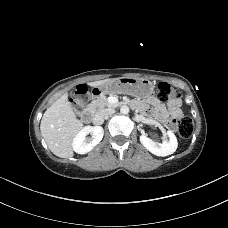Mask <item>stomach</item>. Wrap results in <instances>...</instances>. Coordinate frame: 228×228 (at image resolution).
Here are the masks:
<instances>
[{"label":"stomach","mask_w":228,"mask_h":228,"mask_svg":"<svg viewBox=\"0 0 228 228\" xmlns=\"http://www.w3.org/2000/svg\"><path fill=\"white\" fill-rule=\"evenodd\" d=\"M154 84L146 78L120 77L111 79L98 87L94 97L112 94H128L135 97L147 98L154 91Z\"/></svg>","instance_id":"1"}]
</instances>
